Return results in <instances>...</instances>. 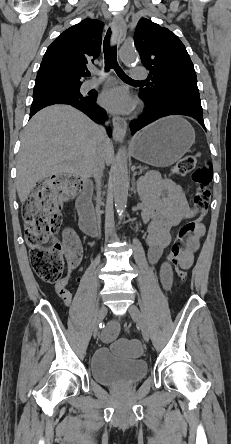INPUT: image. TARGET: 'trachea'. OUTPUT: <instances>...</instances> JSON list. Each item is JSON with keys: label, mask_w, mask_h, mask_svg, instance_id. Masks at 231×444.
Segmentation results:
<instances>
[{"label": "trachea", "mask_w": 231, "mask_h": 444, "mask_svg": "<svg viewBox=\"0 0 231 444\" xmlns=\"http://www.w3.org/2000/svg\"><path fill=\"white\" fill-rule=\"evenodd\" d=\"M111 29H108L107 34L104 39L103 51H104V59H105V71H109L110 69H114L120 79L124 81H136L127 76L124 71L120 68L116 58V46L111 44ZM87 76L90 73H86Z\"/></svg>", "instance_id": "trachea-1"}]
</instances>
